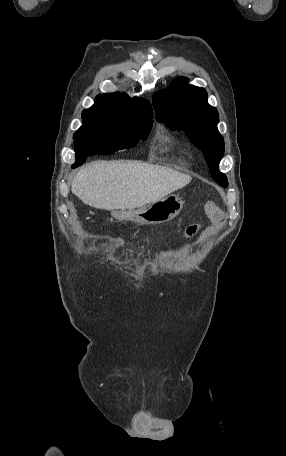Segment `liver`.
I'll return each mask as SVG.
<instances>
[{
	"mask_svg": "<svg viewBox=\"0 0 286 456\" xmlns=\"http://www.w3.org/2000/svg\"><path fill=\"white\" fill-rule=\"evenodd\" d=\"M191 180L172 168L138 161L94 162L77 173L71 190L91 207L125 210L159 201Z\"/></svg>",
	"mask_w": 286,
	"mask_h": 456,
	"instance_id": "1",
	"label": "liver"
}]
</instances>
